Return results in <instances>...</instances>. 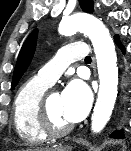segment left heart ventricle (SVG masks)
Returning <instances> with one entry per match:
<instances>
[{
  "label": "left heart ventricle",
  "instance_id": "1",
  "mask_svg": "<svg viewBox=\"0 0 131 151\" xmlns=\"http://www.w3.org/2000/svg\"><path fill=\"white\" fill-rule=\"evenodd\" d=\"M52 121L56 126L63 127L71 124L64 116L61 94L53 93L48 102Z\"/></svg>",
  "mask_w": 131,
  "mask_h": 151
}]
</instances>
